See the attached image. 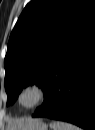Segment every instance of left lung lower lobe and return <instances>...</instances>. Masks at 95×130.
<instances>
[{"label":"left lung lower lobe","instance_id":"0a47b994","mask_svg":"<svg viewBox=\"0 0 95 130\" xmlns=\"http://www.w3.org/2000/svg\"><path fill=\"white\" fill-rule=\"evenodd\" d=\"M95 129V13L82 24L55 67L33 114Z\"/></svg>","mask_w":95,"mask_h":130}]
</instances>
